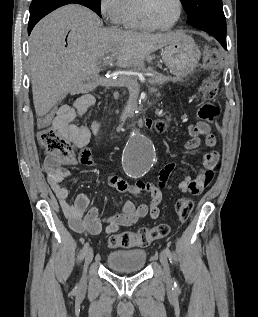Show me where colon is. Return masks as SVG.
Returning <instances> with one entry per match:
<instances>
[{"label": "colon", "instance_id": "colon-1", "mask_svg": "<svg viewBox=\"0 0 258 317\" xmlns=\"http://www.w3.org/2000/svg\"><path fill=\"white\" fill-rule=\"evenodd\" d=\"M216 83L212 78L206 80L201 88V96L204 102L197 109L199 119L206 122H213L219 115V108L213 105L209 100L215 93ZM52 113L47 114L41 120L43 122L50 121ZM168 123L165 119L157 120L154 128L158 132H164ZM38 142L42 150L46 154H50L60 158L68 164H76L81 162L86 151H76L54 127L45 125L38 133ZM193 209V202L190 199H180L175 207L176 215L179 221H186ZM170 232L167 224H159L155 227H142L137 231H125L118 234H111L107 238L108 246L111 248H132L145 247L152 242L165 238Z\"/></svg>", "mask_w": 258, "mask_h": 317}]
</instances>
